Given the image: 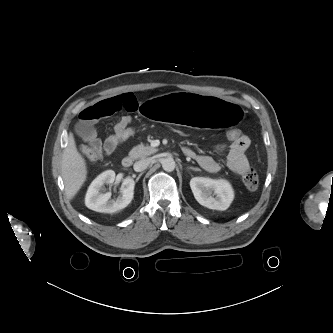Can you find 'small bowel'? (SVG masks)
<instances>
[{
	"instance_id": "small-bowel-1",
	"label": "small bowel",
	"mask_w": 333,
	"mask_h": 333,
	"mask_svg": "<svg viewBox=\"0 0 333 333\" xmlns=\"http://www.w3.org/2000/svg\"><path fill=\"white\" fill-rule=\"evenodd\" d=\"M138 109L137 99L133 94L125 93L113 96L96 102L95 104L83 108L79 112V119L85 128L82 132L86 145L83 149H94L104 154H111L116 151L120 144L116 130L122 126L130 124L132 117L125 115L119 119L114 128V134L109 136L105 142H102L96 134L90 129V126L101 118L110 116L119 111L135 112ZM250 146V140L243 135L240 139L233 141L230 145L227 156V167L239 174L243 175L249 168V162L246 151ZM191 154L189 157L197 161V163L206 171L216 173L221 169V165L209 155L196 154L189 148Z\"/></svg>"
}]
</instances>
